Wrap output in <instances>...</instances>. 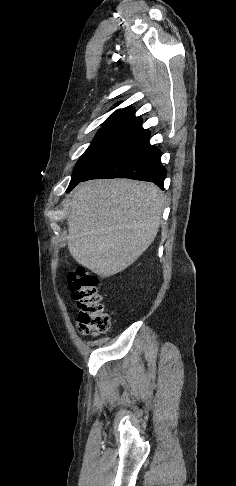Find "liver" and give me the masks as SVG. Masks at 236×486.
<instances>
[{
	"label": "liver",
	"instance_id": "liver-1",
	"mask_svg": "<svg viewBox=\"0 0 236 486\" xmlns=\"http://www.w3.org/2000/svg\"><path fill=\"white\" fill-rule=\"evenodd\" d=\"M164 196L152 183L93 180L71 193L67 217L72 257L100 277L120 273L154 241Z\"/></svg>",
	"mask_w": 236,
	"mask_h": 486
}]
</instances>
